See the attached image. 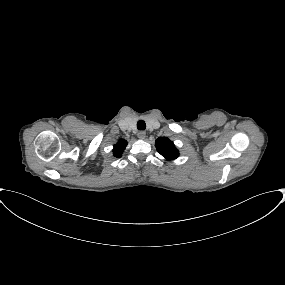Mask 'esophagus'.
Masks as SVG:
<instances>
[{
  "label": "esophagus",
  "instance_id": "esophagus-1",
  "mask_svg": "<svg viewBox=\"0 0 285 285\" xmlns=\"http://www.w3.org/2000/svg\"><path fill=\"white\" fill-rule=\"evenodd\" d=\"M137 136L139 139L143 140L146 137V133L144 131H139Z\"/></svg>",
  "mask_w": 285,
  "mask_h": 285
}]
</instances>
